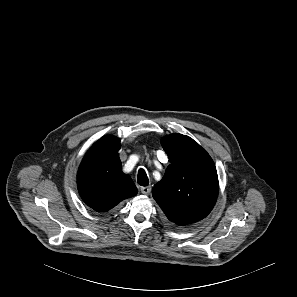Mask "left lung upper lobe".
Listing matches in <instances>:
<instances>
[{
  "label": "left lung upper lobe",
  "mask_w": 297,
  "mask_h": 297,
  "mask_svg": "<svg viewBox=\"0 0 297 297\" xmlns=\"http://www.w3.org/2000/svg\"><path fill=\"white\" fill-rule=\"evenodd\" d=\"M161 144L171 164L152 189L154 199L167 218L177 225L202 220L218 196V175L213 160L186 135H168Z\"/></svg>",
  "instance_id": "left-lung-upper-lobe-1"
}]
</instances>
